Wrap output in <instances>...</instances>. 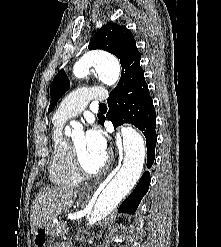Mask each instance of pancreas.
<instances>
[{
    "instance_id": "obj_1",
    "label": "pancreas",
    "mask_w": 221,
    "mask_h": 247,
    "mask_svg": "<svg viewBox=\"0 0 221 247\" xmlns=\"http://www.w3.org/2000/svg\"><path fill=\"white\" fill-rule=\"evenodd\" d=\"M52 228L55 236L57 237H64L69 232L67 222H59L57 224H52Z\"/></svg>"
}]
</instances>
